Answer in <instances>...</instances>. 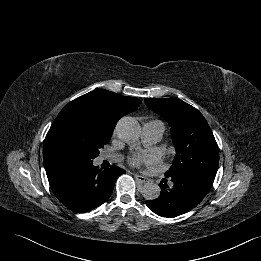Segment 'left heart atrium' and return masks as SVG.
<instances>
[{"label": "left heart atrium", "mask_w": 261, "mask_h": 261, "mask_svg": "<svg viewBox=\"0 0 261 261\" xmlns=\"http://www.w3.org/2000/svg\"><path fill=\"white\" fill-rule=\"evenodd\" d=\"M147 159L145 157H142V156H132L130 159H129V162L131 165L133 166H139L141 165L142 163H144Z\"/></svg>", "instance_id": "1"}]
</instances>
